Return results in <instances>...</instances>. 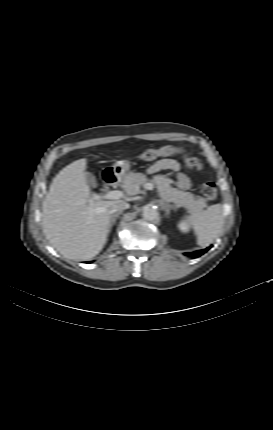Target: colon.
<instances>
[{
    "label": "colon",
    "mask_w": 273,
    "mask_h": 430,
    "mask_svg": "<svg viewBox=\"0 0 273 430\" xmlns=\"http://www.w3.org/2000/svg\"><path fill=\"white\" fill-rule=\"evenodd\" d=\"M173 154H185L184 164L185 166L193 171H200L202 164L194 156H190L185 153L182 148L165 146L159 149H146L140 154V158L145 161H152L159 156L173 155ZM201 193L208 200H213L217 196V187L213 182H204L201 186Z\"/></svg>",
    "instance_id": "1"
}]
</instances>
